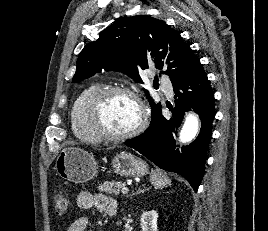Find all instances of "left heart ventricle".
Segmentation results:
<instances>
[{
    "label": "left heart ventricle",
    "instance_id": "b2bd125f",
    "mask_svg": "<svg viewBox=\"0 0 268 231\" xmlns=\"http://www.w3.org/2000/svg\"><path fill=\"white\" fill-rule=\"evenodd\" d=\"M102 124L112 133H124L139 122L140 111L133 99L124 95L110 96L101 111Z\"/></svg>",
    "mask_w": 268,
    "mask_h": 231
}]
</instances>
